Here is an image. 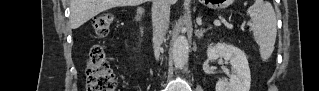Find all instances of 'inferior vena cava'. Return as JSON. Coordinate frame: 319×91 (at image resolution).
Segmentation results:
<instances>
[{
	"label": "inferior vena cava",
	"mask_w": 319,
	"mask_h": 91,
	"mask_svg": "<svg viewBox=\"0 0 319 91\" xmlns=\"http://www.w3.org/2000/svg\"><path fill=\"white\" fill-rule=\"evenodd\" d=\"M170 3L169 0H153V47L155 58L159 59L160 47L163 43L169 25Z\"/></svg>",
	"instance_id": "obj_1"
}]
</instances>
